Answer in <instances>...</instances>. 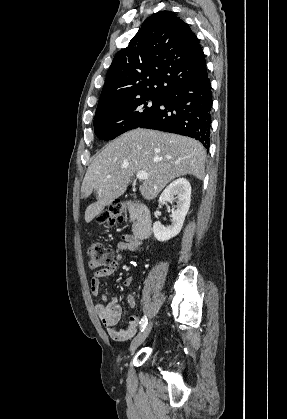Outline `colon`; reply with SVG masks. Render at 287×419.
I'll use <instances>...</instances> for the list:
<instances>
[{
    "mask_svg": "<svg viewBox=\"0 0 287 419\" xmlns=\"http://www.w3.org/2000/svg\"><path fill=\"white\" fill-rule=\"evenodd\" d=\"M123 206L120 202H114L109 210L103 211L98 215V222L108 225H114L117 221L123 220ZM89 267L97 269L107 265L111 260V252L100 243H92L88 250Z\"/></svg>",
    "mask_w": 287,
    "mask_h": 419,
    "instance_id": "5ec220e1",
    "label": "colon"
}]
</instances>
